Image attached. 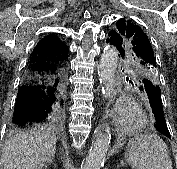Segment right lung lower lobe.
<instances>
[{"label":"right lung lower lobe","mask_w":177,"mask_h":169,"mask_svg":"<svg viewBox=\"0 0 177 169\" xmlns=\"http://www.w3.org/2000/svg\"><path fill=\"white\" fill-rule=\"evenodd\" d=\"M66 60L32 52L15 103V127L64 120L67 102Z\"/></svg>","instance_id":"obj_1"}]
</instances>
